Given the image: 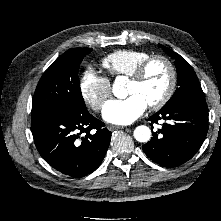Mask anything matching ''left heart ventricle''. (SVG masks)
<instances>
[{
	"label": "left heart ventricle",
	"mask_w": 221,
	"mask_h": 221,
	"mask_svg": "<svg viewBox=\"0 0 221 221\" xmlns=\"http://www.w3.org/2000/svg\"><path fill=\"white\" fill-rule=\"evenodd\" d=\"M169 83V71L162 61H154L139 82L129 81L127 94L139 95L147 105L157 101L165 93Z\"/></svg>",
	"instance_id": "obj_1"
}]
</instances>
